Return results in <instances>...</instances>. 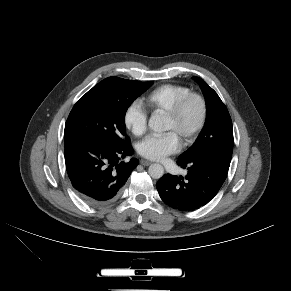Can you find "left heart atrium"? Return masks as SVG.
I'll return each mask as SVG.
<instances>
[{"mask_svg": "<svg viewBox=\"0 0 291 291\" xmlns=\"http://www.w3.org/2000/svg\"><path fill=\"white\" fill-rule=\"evenodd\" d=\"M180 142L173 131L162 135H149L143 139L137 147L138 153L150 160H161L165 156L176 152Z\"/></svg>", "mask_w": 291, "mask_h": 291, "instance_id": "39dd6f15", "label": "left heart atrium"}]
</instances>
